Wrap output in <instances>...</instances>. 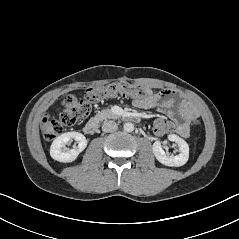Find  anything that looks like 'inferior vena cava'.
Instances as JSON below:
<instances>
[{
    "label": "inferior vena cava",
    "instance_id": "obj_1",
    "mask_svg": "<svg viewBox=\"0 0 239 239\" xmlns=\"http://www.w3.org/2000/svg\"><path fill=\"white\" fill-rule=\"evenodd\" d=\"M117 128H118L117 123L112 120L105 121L102 125V130L104 132H114L117 130Z\"/></svg>",
    "mask_w": 239,
    "mask_h": 239
}]
</instances>
